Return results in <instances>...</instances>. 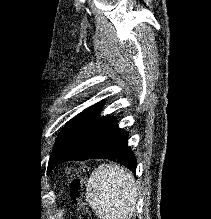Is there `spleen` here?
Segmentation results:
<instances>
[{
	"label": "spleen",
	"mask_w": 211,
	"mask_h": 219,
	"mask_svg": "<svg viewBox=\"0 0 211 219\" xmlns=\"http://www.w3.org/2000/svg\"><path fill=\"white\" fill-rule=\"evenodd\" d=\"M136 197L133 175L123 167L102 164L88 180L86 201L100 219H131Z\"/></svg>",
	"instance_id": "obj_1"
}]
</instances>
